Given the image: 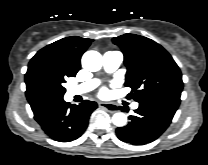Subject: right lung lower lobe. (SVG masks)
Returning <instances> with one entry per match:
<instances>
[{
    "label": "right lung lower lobe",
    "mask_w": 208,
    "mask_h": 165,
    "mask_svg": "<svg viewBox=\"0 0 208 165\" xmlns=\"http://www.w3.org/2000/svg\"><path fill=\"white\" fill-rule=\"evenodd\" d=\"M97 104L85 100L71 105L62 99L44 104L34 111L35 120L53 140L69 142L79 138L88 126V120Z\"/></svg>",
    "instance_id": "98d812e1"
}]
</instances>
